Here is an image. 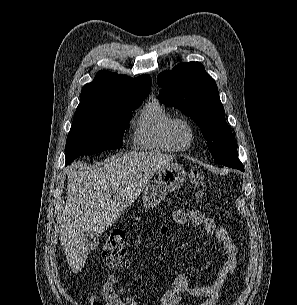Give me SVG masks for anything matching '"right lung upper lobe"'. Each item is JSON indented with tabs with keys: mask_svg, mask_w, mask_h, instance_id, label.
Returning a JSON list of instances; mask_svg holds the SVG:
<instances>
[{
	"mask_svg": "<svg viewBox=\"0 0 297 305\" xmlns=\"http://www.w3.org/2000/svg\"><path fill=\"white\" fill-rule=\"evenodd\" d=\"M151 88L149 75L131 78L108 71H99L93 82L81 91L77 108L107 106L116 102L146 98Z\"/></svg>",
	"mask_w": 297,
	"mask_h": 305,
	"instance_id": "1",
	"label": "right lung upper lobe"
}]
</instances>
